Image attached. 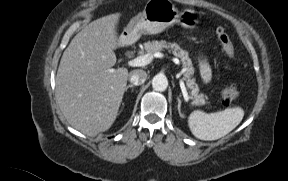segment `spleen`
I'll return each mask as SVG.
<instances>
[{
    "label": "spleen",
    "mask_w": 288,
    "mask_h": 181,
    "mask_svg": "<svg viewBox=\"0 0 288 181\" xmlns=\"http://www.w3.org/2000/svg\"><path fill=\"white\" fill-rule=\"evenodd\" d=\"M243 116L244 111L240 107L227 108L211 114L195 110L188 117V125L196 138L211 141L231 132L240 124Z\"/></svg>",
    "instance_id": "obj_1"
}]
</instances>
